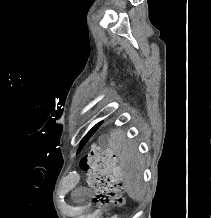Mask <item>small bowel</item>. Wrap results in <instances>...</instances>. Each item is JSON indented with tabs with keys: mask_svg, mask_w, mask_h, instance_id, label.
Segmentation results:
<instances>
[{
	"mask_svg": "<svg viewBox=\"0 0 211 218\" xmlns=\"http://www.w3.org/2000/svg\"><path fill=\"white\" fill-rule=\"evenodd\" d=\"M90 194V191L89 189H86V188H83V189H80L78 192H77V196L78 197H85V196H88Z\"/></svg>",
	"mask_w": 211,
	"mask_h": 218,
	"instance_id": "1",
	"label": "small bowel"
}]
</instances>
